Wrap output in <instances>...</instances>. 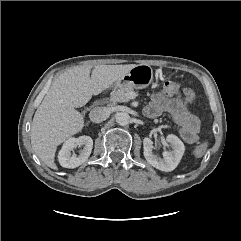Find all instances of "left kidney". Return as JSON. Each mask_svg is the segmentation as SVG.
I'll return each mask as SVG.
<instances>
[{
    "label": "left kidney",
    "mask_w": 241,
    "mask_h": 241,
    "mask_svg": "<svg viewBox=\"0 0 241 241\" xmlns=\"http://www.w3.org/2000/svg\"><path fill=\"white\" fill-rule=\"evenodd\" d=\"M166 140L172 145V151H164L162 159L154 155V143L148 137L144 138L143 140V153L145 159L150 165L161 171L170 172L174 170L179 164L184 154L185 146L183 142L173 134L168 135Z\"/></svg>",
    "instance_id": "1"
}]
</instances>
